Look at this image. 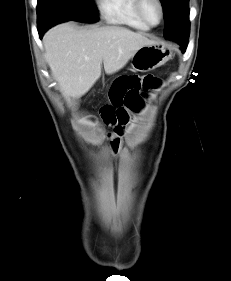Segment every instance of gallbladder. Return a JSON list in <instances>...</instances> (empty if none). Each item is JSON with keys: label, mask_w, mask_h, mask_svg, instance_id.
I'll return each instance as SVG.
<instances>
[{"label": "gallbladder", "mask_w": 231, "mask_h": 281, "mask_svg": "<svg viewBox=\"0 0 231 281\" xmlns=\"http://www.w3.org/2000/svg\"><path fill=\"white\" fill-rule=\"evenodd\" d=\"M78 104H79V99H78V98L73 99V106H74V107H77Z\"/></svg>", "instance_id": "obj_1"}]
</instances>
